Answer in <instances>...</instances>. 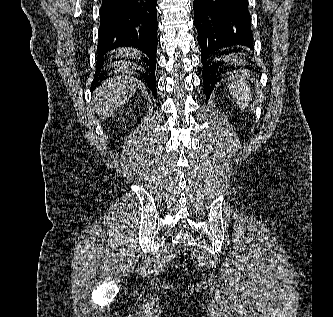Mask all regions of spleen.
I'll list each match as a JSON object with an SVG mask.
<instances>
[{
    "label": "spleen",
    "mask_w": 333,
    "mask_h": 317,
    "mask_svg": "<svg viewBox=\"0 0 333 317\" xmlns=\"http://www.w3.org/2000/svg\"><path fill=\"white\" fill-rule=\"evenodd\" d=\"M229 78L233 81L230 84L229 91L233 99L236 101L240 109H245L248 107L250 101L252 100V92L250 87L245 81V76L247 75L246 70H240L239 72H229L227 73ZM236 79V80H234Z\"/></svg>",
    "instance_id": "1"
}]
</instances>
